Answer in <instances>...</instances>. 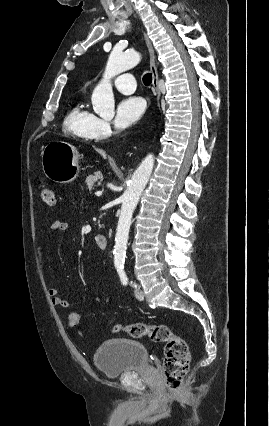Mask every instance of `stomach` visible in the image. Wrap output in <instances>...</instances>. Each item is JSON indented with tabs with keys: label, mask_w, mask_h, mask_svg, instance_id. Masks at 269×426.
Here are the masks:
<instances>
[{
	"label": "stomach",
	"mask_w": 269,
	"mask_h": 426,
	"mask_svg": "<svg viewBox=\"0 0 269 426\" xmlns=\"http://www.w3.org/2000/svg\"><path fill=\"white\" fill-rule=\"evenodd\" d=\"M80 155L71 144L54 140L42 151V168L45 176L56 183L73 182L79 175Z\"/></svg>",
	"instance_id": "obj_1"
}]
</instances>
